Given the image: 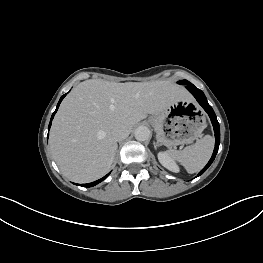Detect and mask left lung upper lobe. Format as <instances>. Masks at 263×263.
<instances>
[{"label":"left lung upper lobe","instance_id":"5c2ea615","mask_svg":"<svg viewBox=\"0 0 263 263\" xmlns=\"http://www.w3.org/2000/svg\"><path fill=\"white\" fill-rule=\"evenodd\" d=\"M178 84L191 85V83L189 81H187V80L178 81Z\"/></svg>","mask_w":263,"mask_h":263}]
</instances>
